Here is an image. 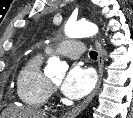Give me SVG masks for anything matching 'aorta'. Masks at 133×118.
I'll return each mask as SVG.
<instances>
[{
	"instance_id": "762f6f07",
	"label": "aorta",
	"mask_w": 133,
	"mask_h": 118,
	"mask_svg": "<svg viewBox=\"0 0 133 118\" xmlns=\"http://www.w3.org/2000/svg\"><path fill=\"white\" fill-rule=\"evenodd\" d=\"M97 32V26L91 22H74L67 23L65 25V34L69 38L90 37L96 34ZM67 69V64L60 61V59L57 57H51L48 60L45 72L48 75H56L57 77H62L67 71Z\"/></svg>"
}]
</instances>
